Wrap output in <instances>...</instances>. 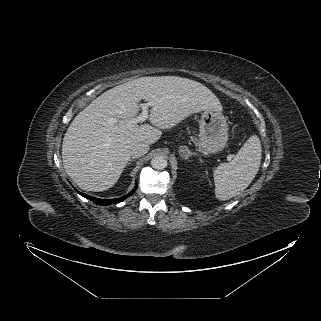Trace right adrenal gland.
I'll return each mask as SVG.
<instances>
[{"label":"right adrenal gland","mask_w":321,"mask_h":321,"mask_svg":"<svg viewBox=\"0 0 321 321\" xmlns=\"http://www.w3.org/2000/svg\"><path fill=\"white\" fill-rule=\"evenodd\" d=\"M134 159H131L129 162H128V164L127 165H130L131 164V162L133 161Z\"/></svg>","instance_id":"1"}]
</instances>
